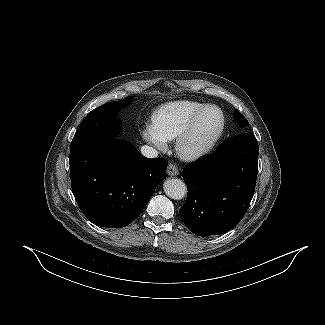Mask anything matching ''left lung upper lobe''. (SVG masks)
Returning <instances> with one entry per match:
<instances>
[{
	"label": "left lung upper lobe",
	"instance_id": "1",
	"mask_svg": "<svg viewBox=\"0 0 325 325\" xmlns=\"http://www.w3.org/2000/svg\"><path fill=\"white\" fill-rule=\"evenodd\" d=\"M235 118L241 127H245L248 125V121L245 119V117L240 112H235Z\"/></svg>",
	"mask_w": 325,
	"mask_h": 325
}]
</instances>
